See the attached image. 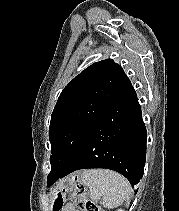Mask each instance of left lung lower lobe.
Here are the masks:
<instances>
[{
	"mask_svg": "<svg viewBox=\"0 0 179 211\" xmlns=\"http://www.w3.org/2000/svg\"><path fill=\"white\" fill-rule=\"evenodd\" d=\"M145 160L146 128L128 80L98 118L77 157L63 173L47 179V185L76 170L106 168L125 176L134 187L143 177Z\"/></svg>",
	"mask_w": 179,
	"mask_h": 211,
	"instance_id": "0a47b994",
	"label": "left lung lower lobe"
}]
</instances>
